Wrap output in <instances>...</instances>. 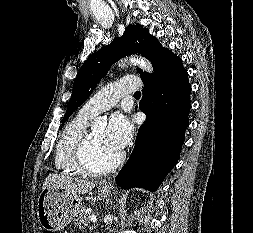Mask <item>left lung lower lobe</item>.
I'll use <instances>...</instances> for the list:
<instances>
[{
    "instance_id": "obj_1",
    "label": "left lung lower lobe",
    "mask_w": 253,
    "mask_h": 233,
    "mask_svg": "<svg viewBox=\"0 0 253 233\" xmlns=\"http://www.w3.org/2000/svg\"><path fill=\"white\" fill-rule=\"evenodd\" d=\"M154 73L141 75L143 96L139 108L146 116L134 149L116 176L123 189L156 191L177 164L189 125L191 86L182 60L165 49L153 64Z\"/></svg>"
}]
</instances>
